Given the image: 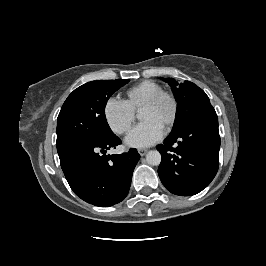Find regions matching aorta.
Returning <instances> with one entry per match:
<instances>
[{
  "label": "aorta",
  "instance_id": "762f6f07",
  "mask_svg": "<svg viewBox=\"0 0 266 266\" xmlns=\"http://www.w3.org/2000/svg\"><path fill=\"white\" fill-rule=\"evenodd\" d=\"M146 161L152 166H157L161 162V154L157 150H151L146 154Z\"/></svg>",
  "mask_w": 266,
  "mask_h": 266
}]
</instances>
